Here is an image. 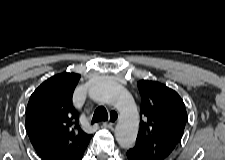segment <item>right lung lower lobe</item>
I'll list each match as a JSON object with an SVG mask.
<instances>
[{
	"instance_id": "obj_1",
	"label": "right lung lower lobe",
	"mask_w": 225,
	"mask_h": 160,
	"mask_svg": "<svg viewBox=\"0 0 225 160\" xmlns=\"http://www.w3.org/2000/svg\"><path fill=\"white\" fill-rule=\"evenodd\" d=\"M42 158V157H41ZM83 158V155L80 157V158H78V160H81ZM43 159V158H42ZM44 160H46V159H44Z\"/></svg>"
}]
</instances>
